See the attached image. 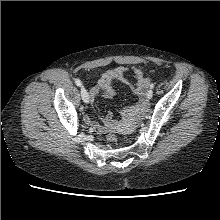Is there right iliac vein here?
<instances>
[{"mask_svg": "<svg viewBox=\"0 0 220 220\" xmlns=\"http://www.w3.org/2000/svg\"><path fill=\"white\" fill-rule=\"evenodd\" d=\"M81 97H82V100H83L85 103H89V101H90V96H89L87 90H86L84 87L81 88Z\"/></svg>", "mask_w": 220, "mask_h": 220, "instance_id": "right-iliac-vein-1", "label": "right iliac vein"}]
</instances>
